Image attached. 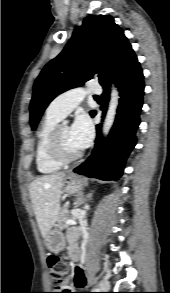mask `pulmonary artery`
I'll use <instances>...</instances> for the list:
<instances>
[{"mask_svg":"<svg viewBox=\"0 0 170 293\" xmlns=\"http://www.w3.org/2000/svg\"><path fill=\"white\" fill-rule=\"evenodd\" d=\"M101 92L99 85L93 84L87 89L72 88L58 95L47 107L46 112L55 115L60 119L66 117L79 103L85 95H98Z\"/></svg>","mask_w":170,"mask_h":293,"instance_id":"pulmonary-artery-1","label":"pulmonary artery"}]
</instances>
